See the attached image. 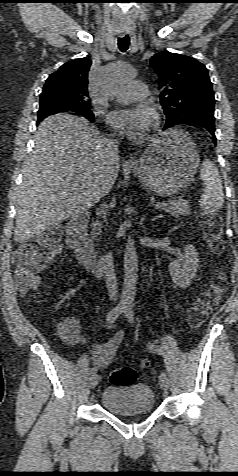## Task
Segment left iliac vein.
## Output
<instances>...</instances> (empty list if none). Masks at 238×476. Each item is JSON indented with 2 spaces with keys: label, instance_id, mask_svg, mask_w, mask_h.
I'll return each instance as SVG.
<instances>
[{
  "label": "left iliac vein",
  "instance_id": "1",
  "mask_svg": "<svg viewBox=\"0 0 238 476\" xmlns=\"http://www.w3.org/2000/svg\"><path fill=\"white\" fill-rule=\"evenodd\" d=\"M159 383H160V386L163 390H168L169 388V380H168V377H167V374L165 372H162L159 376Z\"/></svg>",
  "mask_w": 238,
  "mask_h": 476
}]
</instances>
